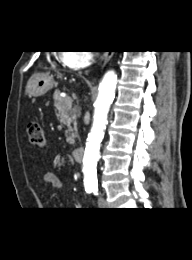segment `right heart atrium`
<instances>
[{
  "mask_svg": "<svg viewBox=\"0 0 192 260\" xmlns=\"http://www.w3.org/2000/svg\"><path fill=\"white\" fill-rule=\"evenodd\" d=\"M92 55L87 51H66L61 54L63 64L71 69L83 68L90 63Z\"/></svg>",
  "mask_w": 192,
  "mask_h": 260,
  "instance_id": "obj_1",
  "label": "right heart atrium"
}]
</instances>
